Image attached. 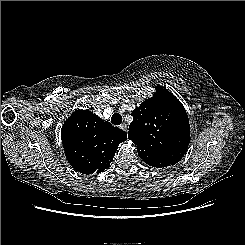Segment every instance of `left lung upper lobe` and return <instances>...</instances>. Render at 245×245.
I'll return each instance as SVG.
<instances>
[{
	"instance_id": "left-lung-upper-lobe-1",
	"label": "left lung upper lobe",
	"mask_w": 245,
	"mask_h": 245,
	"mask_svg": "<svg viewBox=\"0 0 245 245\" xmlns=\"http://www.w3.org/2000/svg\"><path fill=\"white\" fill-rule=\"evenodd\" d=\"M155 89L156 94L132 112L128 135L146 164L162 168L176 164L186 153L190 125L180 101L160 85Z\"/></svg>"
}]
</instances>
